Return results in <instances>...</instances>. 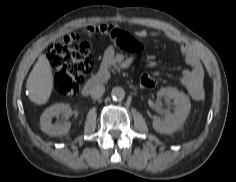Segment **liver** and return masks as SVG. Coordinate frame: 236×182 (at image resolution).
<instances>
[{
	"label": "liver",
	"instance_id": "obj_1",
	"mask_svg": "<svg viewBox=\"0 0 236 182\" xmlns=\"http://www.w3.org/2000/svg\"><path fill=\"white\" fill-rule=\"evenodd\" d=\"M53 83L50 62L46 55L42 54L39 56L26 82L30 101L36 105L47 103L53 90Z\"/></svg>",
	"mask_w": 236,
	"mask_h": 182
}]
</instances>
